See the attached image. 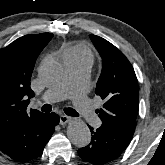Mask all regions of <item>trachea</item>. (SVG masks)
<instances>
[{
	"mask_svg": "<svg viewBox=\"0 0 165 165\" xmlns=\"http://www.w3.org/2000/svg\"><path fill=\"white\" fill-rule=\"evenodd\" d=\"M52 110V106L50 104H44L41 108V111L49 113ZM64 112L69 116L78 117L79 114L73 108H64Z\"/></svg>",
	"mask_w": 165,
	"mask_h": 165,
	"instance_id": "1",
	"label": "trachea"
}]
</instances>
